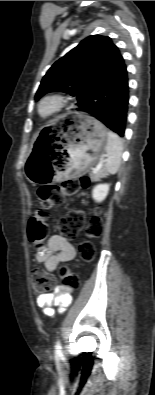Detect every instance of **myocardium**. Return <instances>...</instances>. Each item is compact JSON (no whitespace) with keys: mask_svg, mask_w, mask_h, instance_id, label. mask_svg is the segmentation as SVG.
<instances>
[{"mask_svg":"<svg viewBox=\"0 0 155 395\" xmlns=\"http://www.w3.org/2000/svg\"><path fill=\"white\" fill-rule=\"evenodd\" d=\"M66 105V100L58 94L47 95L37 104V115L41 120H48L59 114Z\"/></svg>","mask_w":155,"mask_h":395,"instance_id":"f54148a6","label":"myocardium"}]
</instances>
